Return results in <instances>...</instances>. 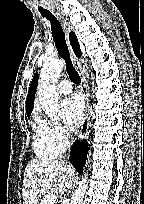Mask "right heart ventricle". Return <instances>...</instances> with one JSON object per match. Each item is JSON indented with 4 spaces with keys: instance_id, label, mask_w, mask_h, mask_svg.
Returning <instances> with one entry per match:
<instances>
[{
    "instance_id": "e07e8e85",
    "label": "right heart ventricle",
    "mask_w": 144,
    "mask_h": 204,
    "mask_svg": "<svg viewBox=\"0 0 144 204\" xmlns=\"http://www.w3.org/2000/svg\"><path fill=\"white\" fill-rule=\"evenodd\" d=\"M33 132V150L39 158L54 160L61 155L62 151L51 142L48 136L45 120L37 115L33 120Z\"/></svg>"
}]
</instances>
